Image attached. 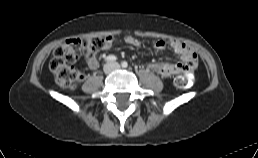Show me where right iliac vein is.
<instances>
[{"instance_id": "63e3f726", "label": "right iliac vein", "mask_w": 258, "mask_h": 158, "mask_svg": "<svg viewBox=\"0 0 258 158\" xmlns=\"http://www.w3.org/2000/svg\"><path fill=\"white\" fill-rule=\"evenodd\" d=\"M113 69H114L113 65L111 63H108L104 66L103 71L106 75H108L112 72Z\"/></svg>"}]
</instances>
